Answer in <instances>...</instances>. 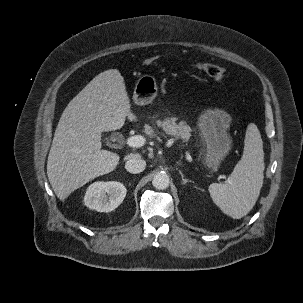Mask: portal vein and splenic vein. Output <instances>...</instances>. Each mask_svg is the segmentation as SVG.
<instances>
[{"mask_svg": "<svg viewBox=\"0 0 303 303\" xmlns=\"http://www.w3.org/2000/svg\"><path fill=\"white\" fill-rule=\"evenodd\" d=\"M129 147H141L145 144V139L140 135L131 136L126 140Z\"/></svg>", "mask_w": 303, "mask_h": 303, "instance_id": "1", "label": "portal vein and splenic vein"}]
</instances>
